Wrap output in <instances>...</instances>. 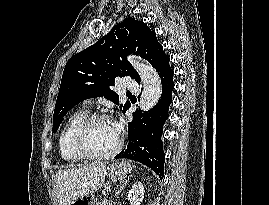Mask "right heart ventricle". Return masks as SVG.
Instances as JSON below:
<instances>
[{
    "label": "right heart ventricle",
    "mask_w": 269,
    "mask_h": 205,
    "mask_svg": "<svg viewBox=\"0 0 269 205\" xmlns=\"http://www.w3.org/2000/svg\"><path fill=\"white\" fill-rule=\"evenodd\" d=\"M88 117V111L79 110L67 119L58 138V146L62 159L69 163L83 161V158L74 146V136L81 123Z\"/></svg>",
    "instance_id": "e07e8e85"
}]
</instances>
